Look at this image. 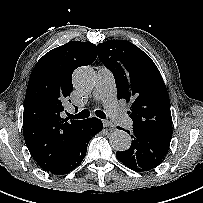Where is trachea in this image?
Instances as JSON below:
<instances>
[{"instance_id": "3493384b", "label": "trachea", "mask_w": 203, "mask_h": 203, "mask_svg": "<svg viewBox=\"0 0 203 203\" xmlns=\"http://www.w3.org/2000/svg\"><path fill=\"white\" fill-rule=\"evenodd\" d=\"M95 114L97 117H99L101 119H106L105 113L101 110H97L95 112ZM68 116H69V118H74V119H85V118H88L90 116V112L88 110H83L76 115L69 114Z\"/></svg>"}]
</instances>
